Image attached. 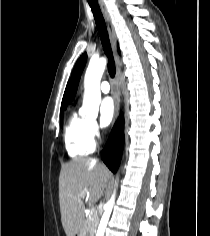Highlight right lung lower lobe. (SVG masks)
Masks as SVG:
<instances>
[{
    "instance_id": "1",
    "label": "right lung lower lobe",
    "mask_w": 210,
    "mask_h": 236,
    "mask_svg": "<svg viewBox=\"0 0 210 236\" xmlns=\"http://www.w3.org/2000/svg\"><path fill=\"white\" fill-rule=\"evenodd\" d=\"M123 142V120L120 117L116 122L111 132L110 138L101 153L102 160L114 173L117 171L120 163Z\"/></svg>"
}]
</instances>
